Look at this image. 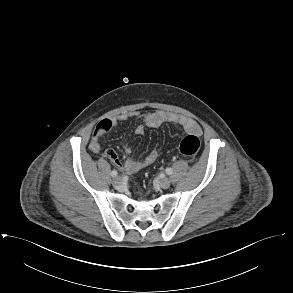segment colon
Wrapping results in <instances>:
<instances>
[{"mask_svg":"<svg viewBox=\"0 0 293 293\" xmlns=\"http://www.w3.org/2000/svg\"><path fill=\"white\" fill-rule=\"evenodd\" d=\"M200 146L201 143L199 138L196 135L191 134L181 140L178 150L181 154L192 157L198 153Z\"/></svg>","mask_w":293,"mask_h":293,"instance_id":"colon-1","label":"colon"}]
</instances>
